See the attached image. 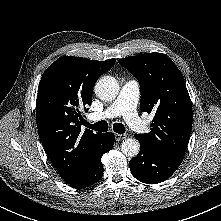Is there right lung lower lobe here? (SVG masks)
<instances>
[{
	"label": "right lung lower lobe",
	"mask_w": 221,
	"mask_h": 221,
	"mask_svg": "<svg viewBox=\"0 0 221 221\" xmlns=\"http://www.w3.org/2000/svg\"><path fill=\"white\" fill-rule=\"evenodd\" d=\"M114 140V134L111 132L101 134L97 142L93 160L88 164L80 177L68 183L71 187L76 189L86 188L97 183L102 178L104 169L101 157L113 148Z\"/></svg>",
	"instance_id": "right-lung-lower-lobe-1"
}]
</instances>
